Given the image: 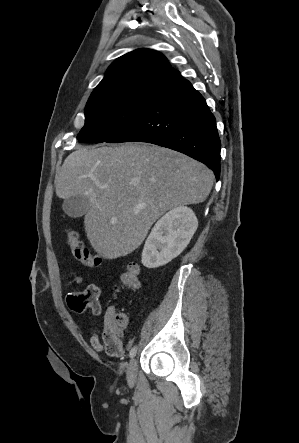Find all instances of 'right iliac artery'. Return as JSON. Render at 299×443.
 I'll list each match as a JSON object with an SVG mask.
<instances>
[{
    "label": "right iliac artery",
    "mask_w": 299,
    "mask_h": 443,
    "mask_svg": "<svg viewBox=\"0 0 299 443\" xmlns=\"http://www.w3.org/2000/svg\"><path fill=\"white\" fill-rule=\"evenodd\" d=\"M137 353V346H134L131 350H130V357L133 358Z\"/></svg>",
    "instance_id": "right-iliac-artery-1"
}]
</instances>
